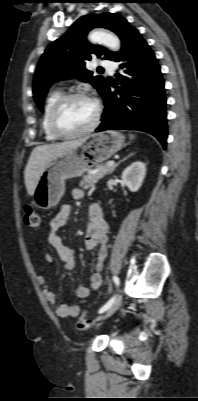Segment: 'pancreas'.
Returning <instances> with one entry per match:
<instances>
[{
  "mask_svg": "<svg viewBox=\"0 0 198 401\" xmlns=\"http://www.w3.org/2000/svg\"><path fill=\"white\" fill-rule=\"evenodd\" d=\"M97 169L98 171L96 173L83 176V179L80 181L79 186L83 187L84 189H89L93 187L100 179L110 173L112 167H109L108 163H106L97 166Z\"/></svg>",
  "mask_w": 198,
  "mask_h": 401,
  "instance_id": "obj_1",
  "label": "pancreas"
}]
</instances>
